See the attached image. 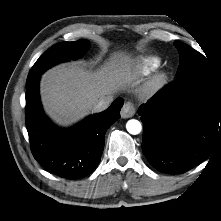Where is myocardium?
Listing matches in <instances>:
<instances>
[{"label": "myocardium", "instance_id": "f54148a6", "mask_svg": "<svg viewBox=\"0 0 221 221\" xmlns=\"http://www.w3.org/2000/svg\"><path fill=\"white\" fill-rule=\"evenodd\" d=\"M168 75L164 71L156 72L148 81L145 92L153 94L159 91L167 83Z\"/></svg>", "mask_w": 221, "mask_h": 221}]
</instances>
